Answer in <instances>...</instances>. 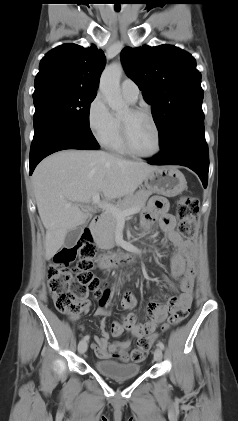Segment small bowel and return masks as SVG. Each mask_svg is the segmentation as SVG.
<instances>
[{"mask_svg": "<svg viewBox=\"0 0 238 421\" xmlns=\"http://www.w3.org/2000/svg\"><path fill=\"white\" fill-rule=\"evenodd\" d=\"M156 220L162 231L175 248L171 257V272L178 279V285H173L166 277L165 283L178 292L175 297L163 295V301L151 300L145 309V321H138L131 312L137 305L134 295L127 291L121 299V306L128 311L121 321L113 322L111 335L120 337L125 331H129L132 336L139 338L146 335H154L159 324L165 321L168 314L174 307L189 308L193 301V285L195 278L196 254L194 246L189 243L176 229L175 219L168 213V204L162 197L152 198L147 208L142 214L141 225L145 230L150 229ZM111 289L103 290V296L99 300V306L95 311V317L99 322L100 334L94 337L92 348L96 355L102 359H108L119 352L129 349L130 340L110 342V333L106 330L105 317L110 312ZM89 302L86 301V308ZM77 316H73L76 319Z\"/></svg>", "mask_w": 238, "mask_h": 421, "instance_id": "obj_1", "label": "small bowel"}]
</instances>
